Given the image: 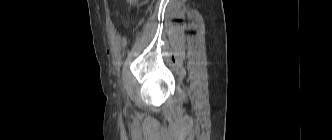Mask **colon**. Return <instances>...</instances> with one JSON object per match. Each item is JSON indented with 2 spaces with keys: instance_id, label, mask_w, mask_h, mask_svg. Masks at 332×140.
Masks as SVG:
<instances>
[{
  "instance_id": "obj_1",
  "label": "colon",
  "mask_w": 332,
  "mask_h": 140,
  "mask_svg": "<svg viewBox=\"0 0 332 140\" xmlns=\"http://www.w3.org/2000/svg\"><path fill=\"white\" fill-rule=\"evenodd\" d=\"M139 0H128V2L129 3H131V4H135V3H137Z\"/></svg>"
}]
</instances>
